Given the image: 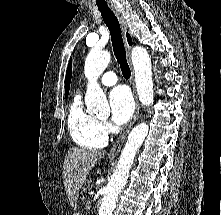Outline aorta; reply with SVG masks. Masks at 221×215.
Listing matches in <instances>:
<instances>
[{"instance_id": "obj_1", "label": "aorta", "mask_w": 221, "mask_h": 215, "mask_svg": "<svg viewBox=\"0 0 221 215\" xmlns=\"http://www.w3.org/2000/svg\"><path fill=\"white\" fill-rule=\"evenodd\" d=\"M135 71V82L139 99L143 106H151L154 101L151 59L145 48L136 46L131 51ZM111 55L107 51L91 50L88 54L84 73L90 84L87 87L85 101L90 114L107 115L109 104L102 89L97 83L98 77L108 66ZM149 127L145 122L136 125L130 132L121 152L117 169L104 190L102 204L98 215H112L118 195L126 185L130 168L135 155L148 134Z\"/></svg>"}]
</instances>
